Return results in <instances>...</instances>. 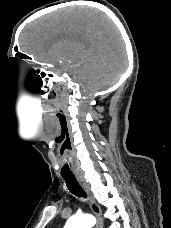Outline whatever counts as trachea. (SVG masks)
I'll use <instances>...</instances> for the list:
<instances>
[{"label": "trachea", "instance_id": "trachea-1", "mask_svg": "<svg viewBox=\"0 0 171 228\" xmlns=\"http://www.w3.org/2000/svg\"><path fill=\"white\" fill-rule=\"evenodd\" d=\"M63 179L66 182V185L69 189V191L77 196V197H83L86 198V193L84 192V190L81 188V186L79 185L78 181L76 180L75 176H63Z\"/></svg>", "mask_w": 171, "mask_h": 228}]
</instances>
